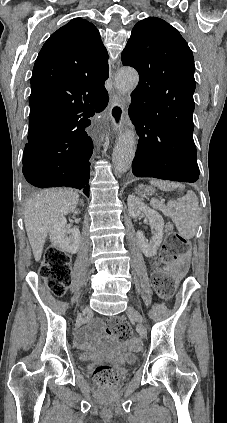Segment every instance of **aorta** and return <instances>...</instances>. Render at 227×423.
<instances>
[{
  "label": "aorta",
  "mask_w": 227,
  "mask_h": 423,
  "mask_svg": "<svg viewBox=\"0 0 227 423\" xmlns=\"http://www.w3.org/2000/svg\"><path fill=\"white\" fill-rule=\"evenodd\" d=\"M139 75L133 68H122L115 76V86L120 95L126 96L136 88ZM136 151L135 134L132 128H125L118 137L113 149L112 161L115 172H126L133 161Z\"/></svg>",
  "instance_id": "aorta-1"
}]
</instances>
